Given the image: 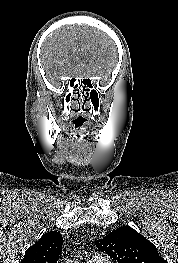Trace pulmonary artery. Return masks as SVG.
Here are the masks:
<instances>
[{
	"instance_id": "e3ab8cb5",
	"label": "pulmonary artery",
	"mask_w": 178,
	"mask_h": 263,
	"mask_svg": "<svg viewBox=\"0 0 178 263\" xmlns=\"http://www.w3.org/2000/svg\"><path fill=\"white\" fill-rule=\"evenodd\" d=\"M90 263H110V261L102 256V255H92L90 258H89V261Z\"/></svg>"
}]
</instances>
